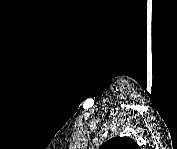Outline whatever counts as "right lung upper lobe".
I'll return each instance as SVG.
<instances>
[{
    "instance_id": "cb5924a9",
    "label": "right lung upper lobe",
    "mask_w": 177,
    "mask_h": 149,
    "mask_svg": "<svg viewBox=\"0 0 177 149\" xmlns=\"http://www.w3.org/2000/svg\"><path fill=\"white\" fill-rule=\"evenodd\" d=\"M138 148L136 142L129 137H116L103 143L101 149H134Z\"/></svg>"
}]
</instances>
